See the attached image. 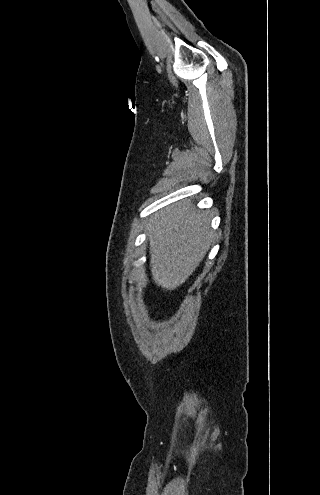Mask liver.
Wrapping results in <instances>:
<instances>
[{"label": "liver", "instance_id": "obj_1", "mask_svg": "<svg viewBox=\"0 0 320 495\" xmlns=\"http://www.w3.org/2000/svg\"><path fill=\"white\" fill-rule=\"evenodd\" d=\"M147 230L153 281L170 291L192 275L214 237L208 212L196 210L188 201L155 213Z\"/></svg>", "mask_w": 320, "mask_h": 495}]
</instances>
